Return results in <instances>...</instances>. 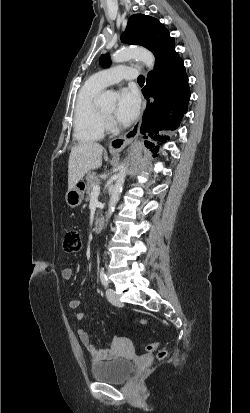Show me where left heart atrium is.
<instances>
[{"mask_svg":"<svg viewBox=\"0 0 250 413\" xmlns=\"http://www.w3.org/2000/svg\"><path fill=\"white\" fill-rule=\"evenodd\" d=\"M140 99L137 92L131 88H123L118 94L116 108L117 118L125 124L131 123L138 115Z\"/></svg>","mask_w":250,"mask_h":413,"instance_id":"obj_1","label":"left heart atrium"}]
</instances>
